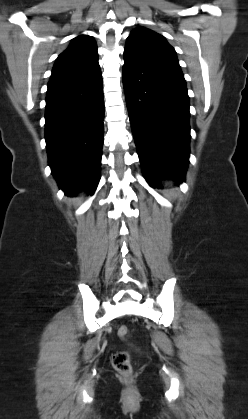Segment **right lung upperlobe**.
Returning a JSON list of instances; mask_svg holds the SVG:
<instances>
[{
    "instance_id": "right-lung-upper-lobe-1",
    "label": "right lung upper lobe",
    "mask_w": 248,
    "mask_h": 419,
    "mask_svg": "<svg viewBox=\"0 0 248 419\" xmlns=\"http://www.w3.org/2000/svg\"><path fill=\"white\" fill-rule=\"evenodd\" d=\"M98 64L97 46L88 35L74 38L69 47L57 58L50 79L81 73Z\"/></svg>"
}]
</instances>
